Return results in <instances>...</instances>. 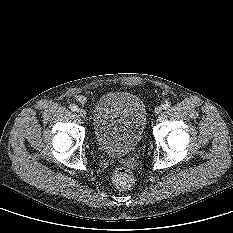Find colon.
I'll list each match as a JSON object with an SVG mask.
<instances>
[{
  "instance_id": "colon-1",
  "label": "colon",
  "mask_w": 233,
  "mask_h": 233,
  "mask_svg": "<svg viewBox=\"0 0 233 233\" xmlns=\"http://www.w3.org/2000/svg\"><path fill=\"white\" fill-rule=\"evenodd\" d=\"M113 182L117 188L127 190L134 184V176L129 169L120 167L113 174Z\"/></svg>"
}]
</instances>
